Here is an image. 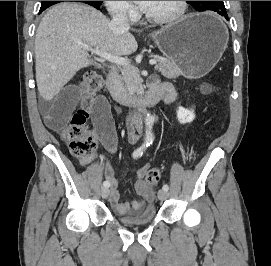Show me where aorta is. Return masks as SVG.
Instances as JSON below:
<instances>
[{
	"label": "aorta",
	"mask_w": 271,
	"mask_h": 266,
	"mask_svg": "<svg viewBox=\"0 0 271 266\" xmlns=\"http://www.w3.org/2000/svg\"><path fill=\"white\" fill-rule=\"evenodd\" d=\"M153 123H154V118L151 115L147 114L145 117V125H146L145 136H146V139L148 140H151L153 138V134H152Z\"/></svg>",
	"instance_id": "1"
}]
</instances>
